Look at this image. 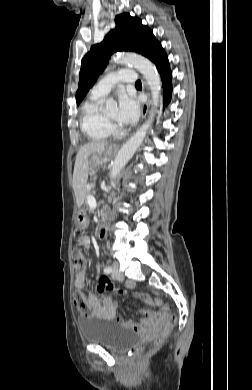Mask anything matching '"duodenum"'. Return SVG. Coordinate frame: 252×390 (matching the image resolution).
<instances>
[{"label": "duodenum", "mask_w": 252, "mask_h": 390, "mask_svg": "<svg viewBox=\"0 0 252 390\" xmlns=\"http://www.w3.org/2000/svg\"><path fill=\"white\" fill-rule=\"evenodd\" d=\"M100 218H101V230L98 234V237L99 239H103L106 236L109 227V223H108L109 212L107 208L101 210Z\"/></svg>", "instance_id": "1"}]
</instances>
